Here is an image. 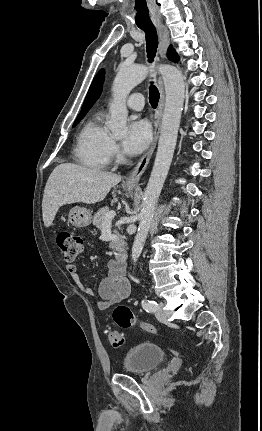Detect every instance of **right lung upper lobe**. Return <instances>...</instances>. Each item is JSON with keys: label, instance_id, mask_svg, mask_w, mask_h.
I'll list each match as a JSON object with an SVG mask.
<instances>
[{"label": "right lung upper lobe", "instance_id": "1", "mask_svg": "<svg viewBox=\"0 0 262 431\" xmlns=\"http://www.w3.org/2000/svg\"><path fill=\"white\" fill-rule=\"evenodd\" d=\"M104 80V72L103 70L99 71V73L94 78L89 91L87 93V96L85 98V101L83 103V106L81 108V112L79 116H82L88 112V110L93 106V104L96 102V100L99 98L101 91H102V83Z\"/></svg>", "mask_w": 262, "mask_h": 431}]
</instances>
